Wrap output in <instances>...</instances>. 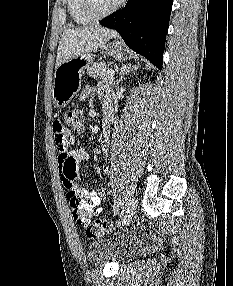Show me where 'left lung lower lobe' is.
I'll return each mask as SVG.
<instances>
[{
    "mask_svg": "<svg viewBox=\"0 0 233 286\" xmlns=\"http://www.w3.org/2000/svg\"><path fill=\"white\" fill-rule=\"evenodd\" d=\"M172 3L173 0H128L122 10L100 24L116 29L132 50L161 70Z\"/></svg>",
    "mask_w": 233,
    "mask_h": 286,
    "instance_id": "left-lung-lower-lobe-1",
    "label": "left lung lower lobe"
}]
</instances>
